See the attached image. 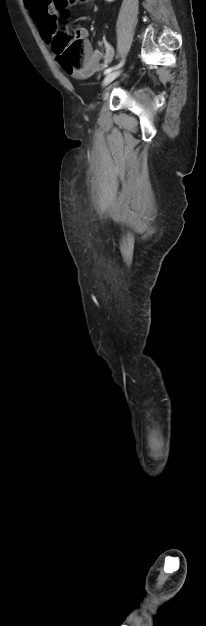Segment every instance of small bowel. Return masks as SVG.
<instances>
[{
    "mask_svg": "<svg viewBox=\"0 0 206 626\" xmlns=\"http://www.w3.org/2000/svg\"><path fill=\"white\" fill-rule=\"evenodd\" d=\"M27 8L30 11L35 23L37 24L42 38L56 52V61L62 69L75 79H86L100 71L112 60L114 51L110 44L102 42L99 49L92 50L87 37L88 30L80 26L77 29V35L85 40V46L88 54L80 66L72 65L67 62L61 53L55 50L56 41V25L57 11L48 0H31L27 2Z\"/></svg>",
    "mask_w": 206,
    "mask_h": 626,
    "instance_id": "1",
    "label": "small bowel"
}]
</instances>
